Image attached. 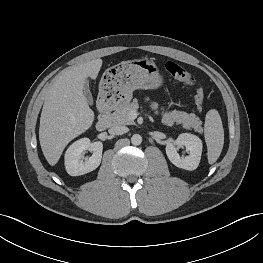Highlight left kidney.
I'll return each mask as SVG.
<instances>
[{
	"label": "left kidney",
	"mask_w": 263,
	"mask_h": 263,
	"mask_svg": "<svg viewBox=\"0 0 263 263\" xmlns=\"http://www.w3.org/2000/svg\"><path fill=\"white\" fill-rule=\"evenodd\" d=\"M185 147L188 156H180L177 152L179 147ZM166 154L172 164L185 170H195L200 162L202 154V141L193 134L182 133L172 143L166 145Z\"/></svg>",
	"instance_id": "5707ae66"
}]
</instances>
